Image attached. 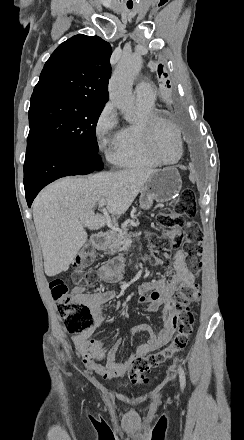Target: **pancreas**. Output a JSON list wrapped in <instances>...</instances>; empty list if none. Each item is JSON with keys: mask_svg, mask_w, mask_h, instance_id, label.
Here are the masks:
<instances>
[{"mask_svg": "<svg viewBox=\"0 0 244 440\" xmlns=\"http://www.w3.org/2000/svg\"><path fill=\"white\" fill-rule=\"evenodd\" d=\"M128 236L129 234H127V232H110L106 242L110 252H112V254H114V252H121L122 240L128 238Z\"/></svg>", "mask_w": 244, "mask_h": 440, "instance_id": "1", "label": "pancreas"}]
</instances>
